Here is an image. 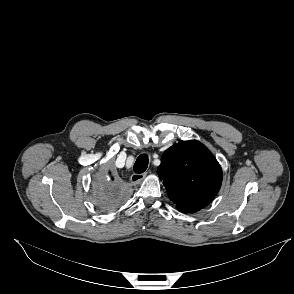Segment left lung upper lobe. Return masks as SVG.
Segmentation results:
<instances>
[{
  "label": "left lung upper lobe",
  "instance_id": "5c2ea615",
  "mask_svg": "<svg viewBox=\"0 0 294 294\" xmlns=\"http://www.w3.org/2000/svg\"><path fill=\"white\" fill-rule=\"evenodd\" d=\"M157 174L179 211L194 213L207 206L219 191L222 169L200 142L185 141L165 151Z\"/></svg>",
  "mask_w": 294,
  "mask_h": 294
}]
</instances>
